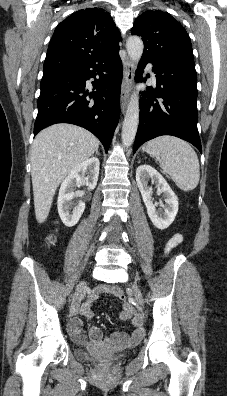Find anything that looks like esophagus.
Returning <instances> with one entry per match:
<instances>
[{
	"label": "esophagus",
	"instance_id": "esophagus-1",
	"mask_svg": "<svg viewBox=\"0 0 227 396\" xmlns=\"http://www.w3.org/2000/svg\"><path fill=\"white\" fill-rule=\"evenodd\" d=\"M123 80L121 86V111L125 112L129 102V91L134 79V65L130 58H126L123 65Z\"/></svg>",
	"mask_w": 227,
	"mask_h": 396
}]
</instances>
